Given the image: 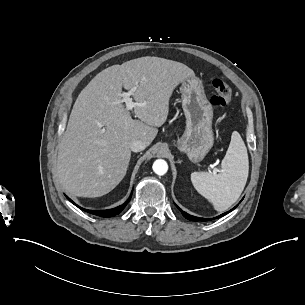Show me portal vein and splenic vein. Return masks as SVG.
<instances>
[{"label": "portal vein and splenic vein", "instance_id": "1", "mask_svg": "<svg viewBox=\"0 0 305 305\" xmlns=\"http://www.w3.org/2000/svg\"><path fill=\"white\" fill-rule=\"evenodd\" d=\"M138 87H139V85L135 84L128 92L122 93V99L126 103L127 108L130 110L136 108L137 106H144V107L146 106V103L133 102V99L130 97L136 91V89ZM215 171H217V169H215ZM213 174H215V173H213Z\"/></svg>", "mask_w": 305, "mask_h": 305}]
</instances>
